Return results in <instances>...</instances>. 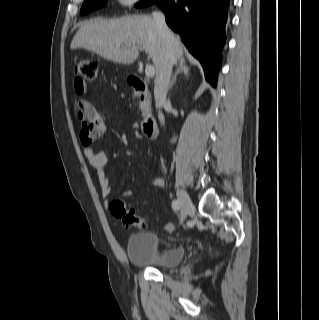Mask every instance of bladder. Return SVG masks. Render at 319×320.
Segmentation results:
<instances>
[{"instance_id":"obj_1","label":"bladder","mask_w":319,"mask_h":320,"mask_svg":"<svg viewBox=\"0 0 319 320\" xmlns=\"http://www.w3.org/2000/svg\"><path fill=\"white\" fill-rule=\"evenodd\" d=\"M126 255L133 264L165 270L180 264L185 251L180 245L161 247L157 234L143 232L128 236Z\"/></svg>"}]
</instances>
